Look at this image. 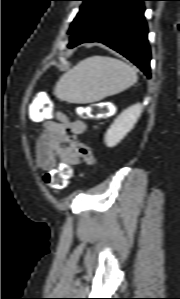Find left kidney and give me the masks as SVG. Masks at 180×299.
<instances>
[{
	"instance_id": "left-kidney-1",
	"label": "left kidney",
	"mask_w": 180,
	"mask_h": 299,
	"mask_svg": "<svg viewBox=\"0 0 180 299\" xmlns=\"http://www.w3.org/2000/svg\"><path fill=\"white\" fill-rule=\"evenodd\" d=\"M143 105L137 103L124 110L112 123L105 134L108 147L116 146L129 133L138 121Z\"/></svg>"
}]
</instances>
